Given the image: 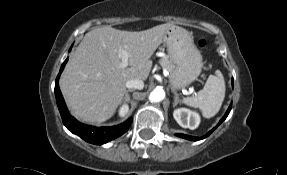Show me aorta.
<instances>
[{
	"label": "aorta",
	"instance_id": "aorta-1",
	"mask_svg": "<svg viewBox=\"0 0 287 175\" xmlns=\"http://www.w3.org/2000/svg\"><path fill=\"white\" fill-rule=\"evenodd\" d=\"M165 98V91L162 88H155L149 95L151 102H160Z\"/></svg>",
	"mask_w": 287,
	"mask_h": 175
}]
</instances>
